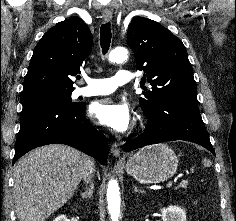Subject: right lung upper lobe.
Returning a JSON list of instances; mask_svg holds the SVG:
<instances>
[{
    "label": "right lung upper lobe",
    "instance_id": "right-lung-upper-lobe-1",
    "mask_svg": "<svg viewBox=\"0 0 236 221\" xmlns=\"http://www.w3.org/2000/svg\"><path fill=\"white\" fill-rule=\"evenodd\" d=\"M92 43L89 28L79 17L57 23L34 48L21 94L41 89L74 90L71 78L80 73Z\"/></svg>",
    "mask_w": 236,
    "mask_h": 221
}]
</instances>
